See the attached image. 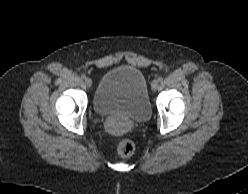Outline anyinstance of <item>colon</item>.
Masks as SVG:
<instances>
[{"label":"colon","mask_w":248,"mask_h":194,"mask_svg":"<svg viewBox=\"0 0 248 194\" xmlns=\"http://www.w3.org/2000/svg\"><path fill=\"white\" fill-rule=\"evenodd\" d=\"M134 149V143L129 139H122L115 145V151L121 157L130 156L134 152Z\"/></svg>","instance_id":"1"}]
</instances>
